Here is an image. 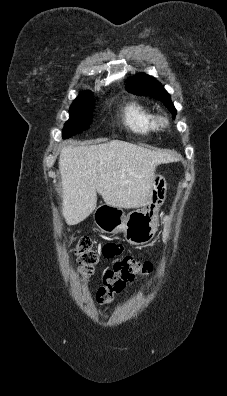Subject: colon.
<instances>
[{
    "label": "colon",
    "mask_w": 227,
    "mask_h": 396,
    "mask_svg": "<svg viewBox=\"0 0 227 396\" xmlns=\"http://www.w3.org/2000/svg\"><path fill=\"white\" fill-rule=\"evenodd\" d=\"M74 250L79 261V270L84 278L94 273L98 253L88 237L74 238ZM152 272V264L132 256H125L115 262L103 275L102 285L96 293V300L101 305L112 302L114 296L120 293L128 282L138 277H145Z\"/></svg>",
    "instance_id": "colon-1"
}]
</instances>
